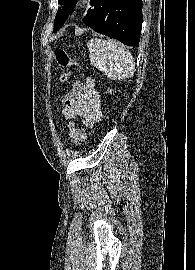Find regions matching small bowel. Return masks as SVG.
<instances>
[{
	"label": "small bowel",
	"instance_id": "c3829d8e",
	"mask_svg": "<svg viewBox=\"0 0 195 270\" xmlns=\"http://www.w3.org/2000/svg\"><path fill=\"white\" fill-rule=\"evenodd\" d=\"M62 114L67 119L82 118L86 126H92L102 117L100 95L95 88L94 81L87 78L85 83L81 84V94L78 99L70 104L65 105L62 109ZM75 124L69 125L70 137L74 143H77L74 138Z\"/></svg>",
	"mask_w": 195,
	"mask_h": 270
}]
</instances>
